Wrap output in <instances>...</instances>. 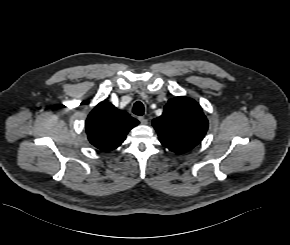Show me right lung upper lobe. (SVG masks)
I'll list each match as a JSON object with an SVG mask.
<instances>
[{
    "label": "right lung upper lobe",
    "instance_id": "right-lung-upper-lobe-1",
    "mask_svg": "<svg viewBox=\"0 0 290 245\" xmlns=\"http://www.w3.org/2000/svg\"><path fill=\"white\" fill-rule=\"evenodd\" d=\"M138 124V120L126 111L101 102L89 114L86 132L93 146L101 151H111L121 145L127 133Z\"/></svg>",
    "mask_w": 290,
    "mask_h": 245
}]
</instances>
